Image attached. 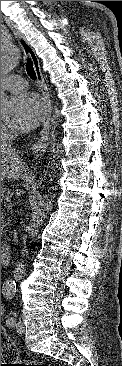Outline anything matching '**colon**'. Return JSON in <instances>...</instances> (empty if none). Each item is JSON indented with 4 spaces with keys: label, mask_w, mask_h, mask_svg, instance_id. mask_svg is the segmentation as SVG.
Segmentation results:
<instances>
[{
    "label": "colon",
    "mask_w": 122,
    "mask_h": 366,
    "mask_svg": "<svg viewBox=\"0 0 122 366\" xmlns=\"http://www.w3.org/2000/svg\"><path fill=\"white\" fill-rule=\"evenodd\" d=\"M17 353L13 344L8 340L6 334L1 329V359L15 360ZM10 366H51L48 363H39L35 361H22L16 364H9Z\"/></svg>",
    "instance_id": "5ec220e1"
}]
</instances>
